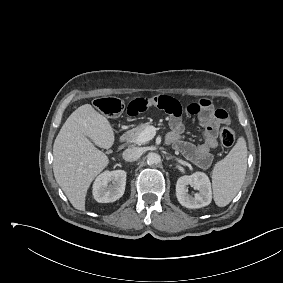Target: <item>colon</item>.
Returning a JSON list of instances; mask_svg holds the SVG:
<instances>
[{
  "label": "colon",
  "mask_w": 283,
  "mask_h": 283,
  "mask_svg": "<svg viewBox=\"0 0 283 283\" xmlns=\"http://www.w3.org/2000/svg\"><path fill=\"white\" fill-rule=\"evenodd\" d=\"M95 107L104 115L109 117H117L123 113L125 109L124 103L114 97H104L95 100ZM220 141L223 146L231 147L236 139L235 132L229 127H222L219 132Z\"/></svg>",
  "instance_id": "obj_1"
}]
</instances>
